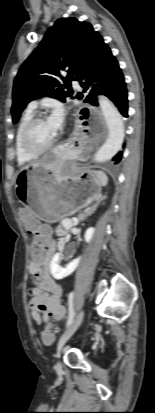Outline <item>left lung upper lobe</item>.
Wrapping results in <instances>:
<instances>
[{"mask_svg": "<svg viewBox=\"0 0 155 413\" xmlns=\"http://www.w3.org/2000/svg\"><path fill=\"white\" fill-rule=\"evenodd\" d=\"M106 44L88 22L76 18L58 19L34 52L19 69L13 86V123L31 100L50 96L65 101L72 96L63 89L70 81H81ZM66 71L65 85L58 78Z\"/></svg>", "mask_w": 155, "mask_h": 413, "instance_id": "obj_1", "label": "left lung upper lobe"}]
</instances>
